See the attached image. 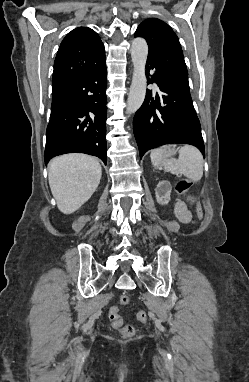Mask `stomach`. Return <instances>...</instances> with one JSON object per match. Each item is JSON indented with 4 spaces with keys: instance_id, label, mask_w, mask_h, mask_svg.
<instances>
[{
    "instance_id": "stomach-1",
    "label": "stomach",
    "mask_w": 249,
    "mask_h": 382,
    "mask_svg": "<svg viewBox=\"0 0 249 382\" xmlns=\"http://www.w3.org/2000/svg\"><path fill=\"white\" fill-rule=\"evenodd\" d=\"M168 148H169V150L162 156V161L168 160L169 158H171L176 153L175 147H173V148L168 147Z\"/></svg>"
}]
</instances>
